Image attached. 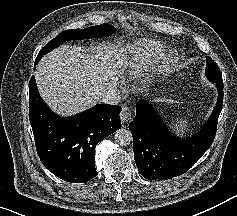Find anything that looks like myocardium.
<instances>
[{
  "mask_svg": "<svg viewBox=\"0 0 237 216\" xmlns=\"http://www.w3.org/2000/svg\"><path fill=\"white\" fill-rule=\"evenodd\" d=\"M181 63V50L177 47L167 48L157 68L145 75L144 79L133 89L132 94L140 96L153 92L161 81L168 80L176 74Z\"/></svg>",
  "mask_w": 237,
  "mask_h": 216,
  "instance_id": "f54148a6",
  "label": "myocardium"
}]
</instances>
